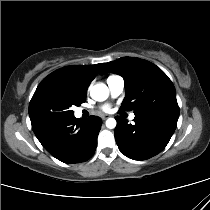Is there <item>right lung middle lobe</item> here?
I'll list each match as a JSON object with an SVG mask.
<instances>
[{"mask_svg": "<svg viewBox=\"0 0 210 210\" xmlns=\"http://www.w3.org/2000/svg\"><path fill=\"white\" fill-rule=\"evenodd\" d=\"M86 97L68 90H56L47 93L36 105L32 115V129L67 118L73 115L71 106H79Z\"/></svg>", "mask_w": 210, "mask_h": 210, "instance_id": "obj_1", "label": "right lung middle lobe"}]
</instances>
